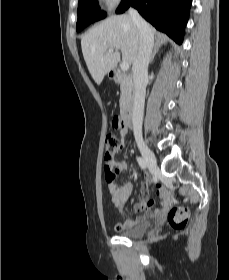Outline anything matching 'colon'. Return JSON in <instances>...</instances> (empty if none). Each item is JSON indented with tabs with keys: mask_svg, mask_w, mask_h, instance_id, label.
<instances>
[{
	"mask_svg": "<svg viewBox=\"0 0 229 280\" xmlns=\"http://www.w3.org/2000/svg\"><path fill=\"white\" fill-rule=\"evenodd\" d=\"M119 121L113 119L111 126L113 128L117 127ZM121 141L113 133H109L105 141V153H104V163H105V180L107 183H114L115 173L112 170V163L115 155L121 150ZM188 212L184 207H173L168 212V223L174 229H181L187 224Z\"/></svg>",
	"mask_w": 229,
	"mask_h": 280,
	"instance_id": "1",
	"label": "colon"
}]
</instances>
